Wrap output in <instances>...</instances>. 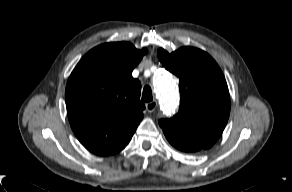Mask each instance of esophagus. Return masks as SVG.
Instances as JSON below:
<instances>
[{
  "mask_svg": "<svg viewBox=\"0 0 292 192\" xmlns=\"http://www.w3.org/2000/svg\"><path fill=\"white\" fill-rule=\"evenodd\" d=\"M157 107L156 101H151L146 104V109L149 113H152Z\"/></svg>",
  "mask_w": 292,
  "mask_h": 192,
  "instance_id": "obj_1",
  "label": "esophagus"
}]
</instances>
